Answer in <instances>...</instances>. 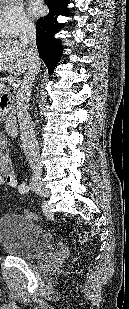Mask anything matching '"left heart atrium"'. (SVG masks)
<instances>
[{
    "mask_svg": "<svg viewBox=\"0 0 129 309\" xmlns=\"http://www.w3.org/2000/svg\"><path fill=\"white\" fill-rule=\"evenodd\" d=\"M30 12L34 16H39L43 12V5L40 2H34L30 7Z\"/></svg>",
    "mask_w": 129,
    "mask_h": 309,
    "instance_id": "1",
    "label": "left heart atrium"
}]
</instances>
